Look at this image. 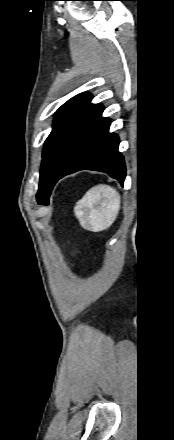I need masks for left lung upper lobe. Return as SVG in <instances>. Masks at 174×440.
<instances>
[{
  "instance_id": "5c2ea615",
  "label": "left lung upper lobe",
  "mask_w": 174,
  "mask_h": 440,
  "mask_svg": "<svg viewBox=\"0 0 174 440\" xmlns=\"http://www.w3.org/2000/svg\"><path fill=\"white\" fill-rule=\"evenodd\" d=\"M92 95L83 92L64 103L56 112L54 127L45 141L37 201L48 200L55 179L65 165L79 135L101 106L91 104ZM48 204V203H47Z\"/></svg>"
}]
</instances>
